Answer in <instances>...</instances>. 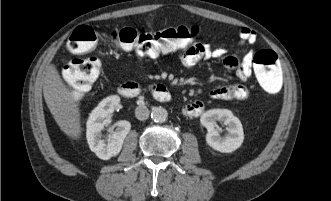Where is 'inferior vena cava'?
<instances>
[{
    "mask_svg": "<svg viewBox=\"0 0 331 201\" xmlns=\"http://www.w3.org/2000/svg\"><path fill=\"white\" fill-rule=\"evenodd\" d=\"M149 114H150V111L145 106H138L135 109V116L138 120L143 121V120L148 119Z\"/></svg>",
    "mask_w": 331,
    "mask_h": 201,
    "instance_id": "602c4592",
    "label": "inferior vena cava"
}]
</instances>
